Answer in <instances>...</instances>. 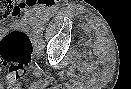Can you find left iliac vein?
Returning a JSON list of instances; mask_svg holds the SVG:
<instances>
[{"instance_id": "1", "label": "left iliac vein", "mask_w": 131, "mask_h": 89, "mask_svg": "<svg viewBox=\"0 0 131 89\" xmlns=\"http://www.w3.org/2000/svg\"><path fill=\"white\" fill-rule=\"evenodd\" d=\"M38 48H39L38 50L41 51V47L39 46Z\"/></svg>"}]
</instances>
